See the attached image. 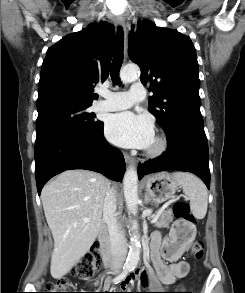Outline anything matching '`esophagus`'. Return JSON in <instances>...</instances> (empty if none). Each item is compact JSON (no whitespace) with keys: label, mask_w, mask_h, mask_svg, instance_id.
Returning a JSON list of instances; mask_svg holds the SVG:
<instances>
[{"label":"esophagus","mask_w":245,"mask_h":293,"mask_svg":"<svg viewBox=\"0 0 245 293\" xmlns=\"http://www.w3.org/2000/svg\"><path fill=\"white\" fill-rule=\"evenodd\" d=\"M116 23L122 27H124V24H125V20L122 16H117L116 17ZM124 159L126 161V163L128 164H134L135 161L134 159L127 153H124Z\"/></svg>","instance_id":"esophagus-1"}]
</instances>
